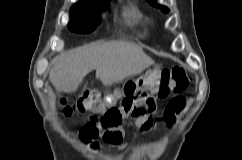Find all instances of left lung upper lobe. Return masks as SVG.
Masks as SVG:
<instances>
[{
	"label": "left lung upper lobe",
	"mask_w": 242,
	"mask_h": 160,
	"mask_svg": "<svg viewBox=\"0 0 242 160\" xmlns=\"http://www.w3.org/2000/svg\"><path fill=\"white\" fill-rule=\"evenodd\" d=\"M151 5H156L155 4V0H147ZM157 6V5H156ZM160 7V9L162 10V11H164V12H168L169 10H168V8H166V7H164V6H159Z\"/></svg>",
	"instance_id": "1"
}]
</instances>
